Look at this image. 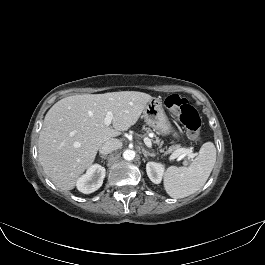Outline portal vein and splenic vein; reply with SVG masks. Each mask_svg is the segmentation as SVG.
<instances>
[{
	"label": "portal vein and splenic vein",
	"instance_id": "18ae733b",
	"mask_svg": "<svg viewBox=\"0 0 265 265\" xmlns=\"http://www.w3.org/2000/svg\"><path fill=\"white\" fill-rule=\"evenodd\" d=\"M112 120H113V113L111 111H108L107 114H106V117L104 119L105 125L109 126L111 124ZM144 143H145V145L148 148H151L152 147L151 139H149L148 137H145L144 138ZM185 156H188L190 158H193L195 156V154H193L192 152H190L188 149H183L182 151H179V152H176V153L172 154L170 156V159L171 160L176 159V158L182 159Z\"/></svg>",
	"mask_w": 265,
	"mask_h": 265
}]
</instances>
